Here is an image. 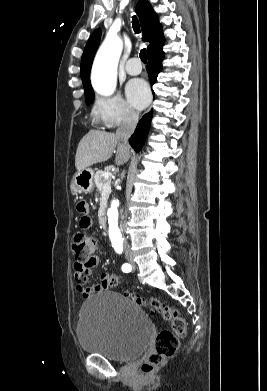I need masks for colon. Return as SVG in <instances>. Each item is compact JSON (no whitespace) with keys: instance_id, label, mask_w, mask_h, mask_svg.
<instances>
[{"instance_id":"colon-1","label":"colon","mask_w":267,"mask_h":391,"mask_svg":"<svg viewBox=\"0 0 267 391\" xmlns=\"http://www.w3.org/2000/svg\"><path fill=\"white\" fill-rule=\"evenodd\" d=\"M97 246V241L94 237L84 233H77L72 240V250L76 264L81 266L93 265L95 263ZM108 284L110 286L117 284L115 274L110 273L108 275ZM129 296L135 303L147 308L151 313L160 316L171 325V330H162L157 334L154 345L141 366L144 373H150L158 365L175 354L179 347V338L186 333V322L170 305L136 294H130Z\"/></svg>"}]
</instances>
